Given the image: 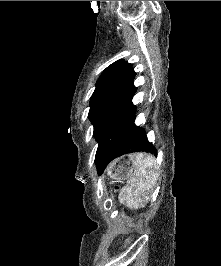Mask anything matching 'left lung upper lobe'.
<instances>
[{
  "instance_id": "obj_1",
  "label": "left lung upper lobe",
  "mask_w": 221,
  "mask_h": 266,
  "mask_svg": "<svg viewBox=\"0 0 221 266\" xmlns=\"http://www.w3.org/2000/svg\"><path fill=\"white\" fill-rule=\"evenodd\" d=\"M135 75L130 63L118 60L109 65L99 77L90 99L88 114L94 126L93 136L98 143L101 142L115 114L135 93Z\"/></svg>"
}]
</instances>
